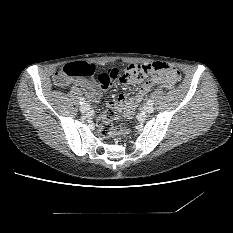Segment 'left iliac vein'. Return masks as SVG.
Segmentation results:
<instances>
[{"mask_svg":"<svg viewBox=\"0 0 233 233\" xmlns=\"http://www.w3.org/2000/svg\"><path fill=\"white\" fill-rule=\"evenodd\" d=\"M143 109H144V111H145L146 113H148V114H150V113H152V112L154 111V107L151 106V105H145V106L143 107Z\"/></svg>","mask_w":233,"mask_h":233,"instance_id":"obj_1","label":"left iliac vein"}]
</instances>
